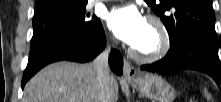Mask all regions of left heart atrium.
I'll use <instances>...</instances> for the list:
<instances>
[{
    "label": "left heart atrium",
    "instance_id": "left-heart-atrium-1",
    "mask_svg": "<svg viewBox=\"0 0 221 102\" xmlns=\"http://www.w3.org/2000/svg\"><path fill=\"white\" fill-rule=\"evenodd\" d=\"M107 25L120 40L135 46L145 31L147 21L135 7H123L111 11Z\"/></svg>",
    "mask_w": 221,
    "mask_h": 102
}]
</instances>
